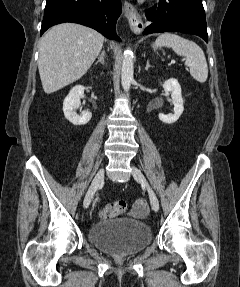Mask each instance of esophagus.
Masks as SVG:
<instances>
[{
	"label": "esophagus",
	"instance_id": "1",
	"mask_svg": "<svg viewBox=\"0 0 240 287\" xmlns=\"http://www.w3.org/2000/svg\"><path fill=\"white\" fill-rule=\"evenodd\" d=\"M124 15L128 19L131 30L138 34L143 31L144 24L137 9L129 2L124 3Z\"/></svg>",
	"mask_w": 240,
	"mask_h": 287
}]
</instances>
